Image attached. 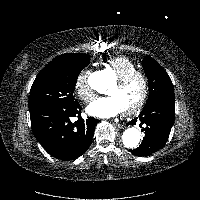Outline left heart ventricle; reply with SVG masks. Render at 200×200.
<instances>
[{"mask_svg": "<svg viewBox=\"0 0 200 200\" xmlns=\"http://www.w3.org/2000/svg\"><path fill=\"white\" fill-rule=\"evenodd\" d=\"M143 90L142 82L139 78L131 80L122 87L115 83L109 88L108 94L115 96L121 104L123 110L132 107L138 102Z\"/></svg>", "mask_w": 200, "mask_h": 200, "instance_id": "left-heart-ventricle-1", "label": "left heart ventricle"}]
</instances>
